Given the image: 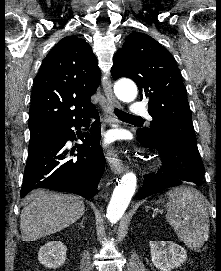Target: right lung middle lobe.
Returning <instances> with one entry per match:
<instances>
[{
	"mask_svg": "<svg viewBox=\"0 0 221 271\" xmlns=\"http://www.w3.org/2000/svg\"><path fill=\"white\" fill-rule=\"evenodd\" d=\"M60 129H61L60 127H49V128H43V129L30 131L29 147H31L37 142L43 141L57 134L60 131Z\"/></svg>",
	"mask_w": 221,
	"mask_h": 271,
	"instance_id": "dd1d6c3e",
	"label": "right lung middle lobe"
}]
</instances>
